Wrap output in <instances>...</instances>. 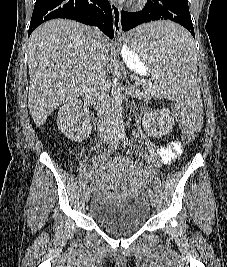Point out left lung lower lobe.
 <instances>
[{"instance_id": "0a47b994", "label": "left lung lower lobe", "mask_w": 227, "mask_h": 267, "mask_svg": "<svg viewBox=\"0 0 227 267\" xmlns=\"http://www.w3.org/2000/svg\"><path fill=\"white\" fill-rule=\"evenodd\" d=\"M156 20H171L184 26L195 38L194 28L189 12L188 0H147V4L139 12H121V24L128 31L142 23ZM157 43L176 49L186 43L181 38L165 36Z\"/></svg>"}]
</instances>
